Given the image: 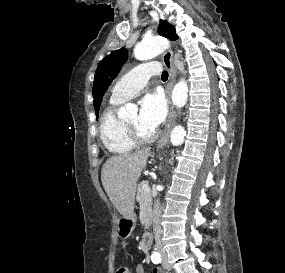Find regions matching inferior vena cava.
<instances>
[{
  "instance_id": "obj_1",
  "label": "inferior vena cava",
  "mask_w": 285,
  "mask_h": 273,
  "mask_svg": "<svg viewBox=\"0 0 285 273\" xmlns=\"http://www.w3.org/2000/svg\"><path fill=\"white\" fill-rule=\"evenodd\" d=\"M160 217H161V205L160 201L156 200L153 208V231L154 238L157 244V250L162 254L163 248L161 244V225H160Z\"/></svg>"
}]
</instances>
